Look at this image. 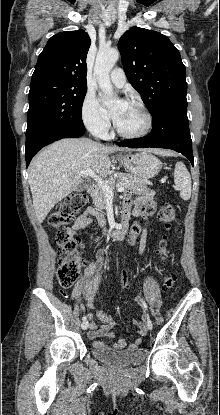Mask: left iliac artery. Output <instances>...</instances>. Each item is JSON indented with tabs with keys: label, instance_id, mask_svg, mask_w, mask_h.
Returning a JSON list of instances; mask_svg holds the SVG:
<instances>
[{
	"label": "left iliac artery",
	"instance_id": "left-iliac-artery-1",
	"mask_svg": "<svg viewBox=\"0 0 220 415\" xmlns=\"http://www.w3.org/2000/svg\"><path fill=\"white\" fill-rule=\"evenodd\" d=\"M140 305L144 310H147V304L143 298H140Z\"/></svg>",
	"mask_w": 220,
	"mask_h": 415
}]
</instances>
